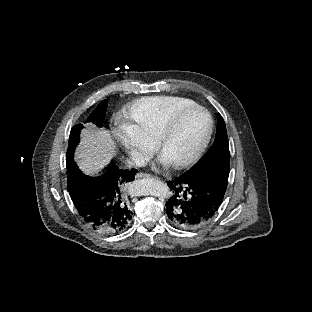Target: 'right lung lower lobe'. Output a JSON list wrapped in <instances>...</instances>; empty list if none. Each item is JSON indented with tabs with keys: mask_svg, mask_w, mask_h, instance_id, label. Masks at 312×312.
<instances>
[{
	"mask_svg": "<svg viewBox=\"0 0 312 312\" xmlns=\"http://www.w3.org/2000/svg\"><path fill=\"white\" fill-rule=\"evenodd\" d=\"M136 173V169H119L112 162L102 174L89 177L74 161L68 164L67 188L82 220L105 235L125 230L132 219L126 189Z\"/></svg>",
	"mask_w": 312,
	"mask_h": 312,
	"instance_id": "right-lung-lower-lobe-1",
	"label": "right lung lower lobe"
}]
</instances>
